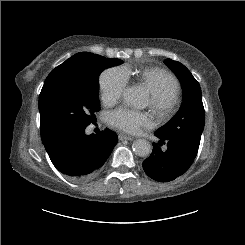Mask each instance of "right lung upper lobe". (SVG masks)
<instances>
[{"label":"right lung upper lobe","mask_w":245,"mask_h":245,"mask_svg":"<svg viewBox=\"0 0 245 245\" xmlns=\"http://www.w3.org/2000/svg\"><path fill=\"white\" fill-rule=\"evenodd\" d=\"M77 57H78V54L72 56L71 58L66 60L64 63H62L61 65L56 67L49 75L52 76L53 74H55V73L65 69L66 67L72 65Z\"/></svg>","instance_id":"1"}]
</instances>
